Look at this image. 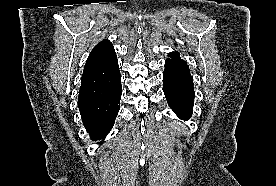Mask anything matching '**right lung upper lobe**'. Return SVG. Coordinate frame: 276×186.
<instances>
[{
  "label": "right lung upper lobe",
  "mask_w": 276,
  "mask_h": 186,
  "mask_svg": "<svg viewBox=\"0 0 276 186\" xmlns=\"http://www.w3.org/2000/svg\"><path fill=\"white\" fill-rule=\"evenodd\" d=\"M118 60L110 41L104 39L91 51L82 74L81 86L108 82L119 75Z\"/></svg>",
  "instance_id": "1"
}]
</instances>
